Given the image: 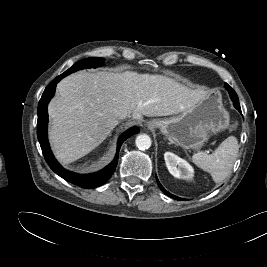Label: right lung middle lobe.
<instances>
[{
  "label": "right lung middle lobe",
  "instance_id": "right-lung-middle-lobe-1",
  "mask_svg": "<svg viewBox=\"0 0 267 267\" xmlns=\"http://www.w3.org/2000/svg\"><path fill=\"white\" fill-rule=\"evenodd\" d=\"M104 64V59L103 58H87V59H83L78 61L77 63H75L71 68H69L67 71H65L63 74H61L62 76H67L70 73H73L77 70L80 69H84V68H96L98 66H102Z\"/></svg>",
  "mask_w": 267,
  "mask_h": 267
}]
</instances>
